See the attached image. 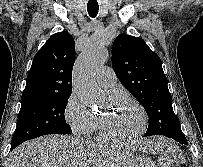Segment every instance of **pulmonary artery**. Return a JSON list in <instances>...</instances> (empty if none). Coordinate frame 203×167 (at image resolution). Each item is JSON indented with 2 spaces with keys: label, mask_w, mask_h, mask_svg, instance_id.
<instances>
[{
  "label": "pulmonary artery",
  "mask_w": 203,
  "mask_h": 167,
  "mask_svg": "<svg viewBox=\"0 0 203 167\" xmlns=\"http://www.w3.org/2000/svg\"><path fill=\"white\" fill-rule=\"evenodd\" d=\"M98 84L105 89H112L116 83V74L110 67H102L96 75Z\"/></svg>",
  "instance_id": "e3ab8cb5"
}]
</instances>
